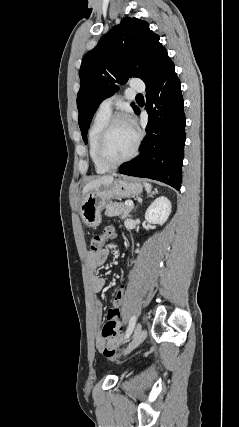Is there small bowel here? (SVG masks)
Masks as SVG:
<instances>
[{"label": "small bowel", "instance_id": "obj_1", "mask_svg": "<svg viewBox=\"0 0 239 427\" xmlns=\"http://www.w3.org/2000/svg\"><path fill=\"white\" fill-rule=\"evenodd\" d=\"M113 236H114V232L112 237ZM108 256H109V251L107 249H102L97 254L89 253L87 255V266L90 271V286H91V290L95 294L99 293L106 284V279L96 274V270L98 267L102 266L107 261ZM93 311H94V317L96 322L100 324L102 319V313H103V305L98 298L94 299ZM97 346L99 349H103L104 342L101 338L97 339Z\"/></svg>", "mask_w": 239, "mask_h": 427}]
</instances>
